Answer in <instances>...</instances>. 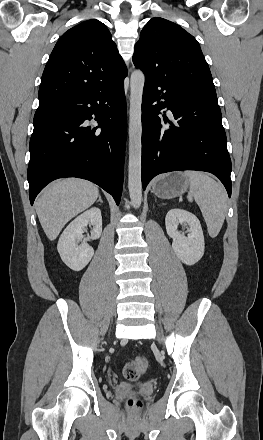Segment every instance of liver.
<instances>
[{
  "label": "liver",
  "mask_w": 263,
  "mask_h": 440,
  "mask_svg": "<svg viewBox=\"0 0 263 440\" xmlns=\"http://www.w3.org/2000/svg\"><path fill=\"white\" fill-rule=\"evenodd\" d=\"M98 196V187L83 179H61L46 187L35 207L48 239L55 240L66 223L93 205Z\"/></svg>",
  "instance_id": "1"
}]
</instances>
